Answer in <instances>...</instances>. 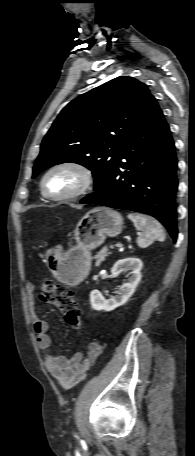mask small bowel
<instances>
[{"label": "small bowel", "mask_w": 195, "mask_h": 456, "mask_svg": "<svg viewBox=\"0 0 195 456\" xmlns=\"http://www.w3.org/2000/svg\"><path fill=\"white\" fill-rule=\"evenodd\" d=\"M26 293L37 344L44 353L45 367L63 390H69L85 379L88 369L102 353L103 346L99 342H92L85 353L78 352L71 358L50 351L52 341L49 324L35 313L34 286L31 283L26 285Z\"/></svg>", "instance_id": "1"}]
</instances>
